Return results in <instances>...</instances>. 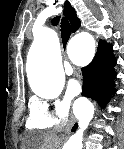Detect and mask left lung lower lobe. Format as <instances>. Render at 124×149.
Instances as JSON below:
<instances>
[{"mask_svg":"<svg viewBox=\"0 0 124 149\" xmlns=\"http://www.w3.org/2000/svg\"><path fill=\"white\" fill-rule=\"evenodd\" d=\"M115 65L116 58L113 55L112 45H106L104 41H100L93 61L82 68V95L96 100L101 107H105L116 92Z\"/></svg>","mask_w":124,"mask_h":149,"instance_id":"left-lung-lower-lobe-1","label":"left lung lower lobe"}]
</instances>
